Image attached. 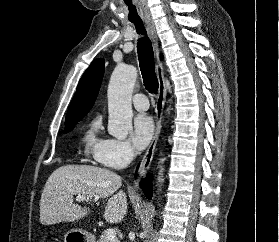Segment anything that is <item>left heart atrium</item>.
<instances>
[{"label":"left heart atrium","instance_id":"1","mask_svg":"<svg viewBox=\"0 0 279 242\" xmlns=\"http://www.w3.org/2000/svg\"><path fill=\"white\" fill-rule=\"evenodd\" d=\"M153 119L147 114H138L133 121L132 143L138 150L144 149L154 135Z\"/></svg>","mask_w":279,"mask_h":242}]
</instances>
